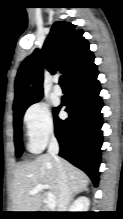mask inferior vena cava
Wrapping results in <instances>:
<instances>
[{"instance_id":"inferior-vena-cava-1","label":"inferior vena cava","mask_w":123,"mask_h":219,"mask_svg":"<svg viewBox=\"0 0 123 219\" xmlns=\"http://www.w3.org/2000/svg\"><path fill=\"white\" fill-rule=\"evenodd\" d=\"M59 153V144L55 136L50 139L48 154H50L57 163L58 173H59V198L57 203V212H68L71 202V191L68 185L66 172L64 167L57 156Z\"/></svg>"}]
</instances>
